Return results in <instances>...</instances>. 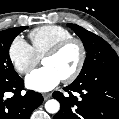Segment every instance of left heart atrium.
Masks as SVG:
<instances>
[{
    "instance_id": "left-heart-atrium-1",
    "label": "left heart atrium",
    "mask_w": 119,
    "mask_h": 119,
    "mask_svg": "<svg viewBox=\"0 0 119 119\" xmlns=\"http://www.w3.org/2000/svg\"><path fill=\"white\" fill-rule=\"evenodd\" d=\"M62 77L51 67H41L26 77V86L38 92H48L55 88Z\"/></svg>"
}]
</instances>
